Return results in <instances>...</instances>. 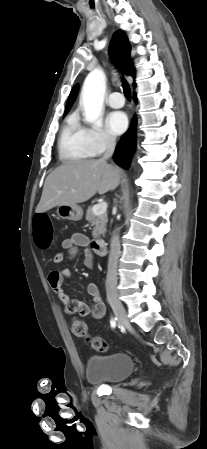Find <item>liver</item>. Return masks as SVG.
<instances>
[{
  "label": "liver",
  "instance_id": "obj_1",
  "mask_svg": "<svg viewBox=\"0 0 207 449\" xmlns=\"http://www.w3.org/2000/svg\"><path fill=\"white\" fill-rule=\"evenodd\" d=\"M119 183L120 170L101 159L65 163L46 178L36 212L83 203L97 192L104 194L116 189Z\"/></svg>",
  "mask_w": 207,
  "mask_h": 449
}]
</instances>
